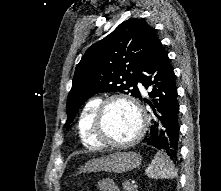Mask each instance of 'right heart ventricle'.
I'll use <instances>...</instances> for the list:
<instances>
[{
    "label": "right heart ventricle",
    "instance_id": "1",
    "mask_svg": "<svg viewBox=\"0 0 221 191\" xmlns=\"http://www.w3.org/2000/svg\"><path fill=\"white\" fill-rule=\"evenodd\" d=\"M101 103L99 97L89 99L83 106L77 121V131L81 143L87 148H100L93 134V121L96 109Z\"/></svg>",
    "mask_w": 221,
    "mask_h": 191
}]
</instances>
